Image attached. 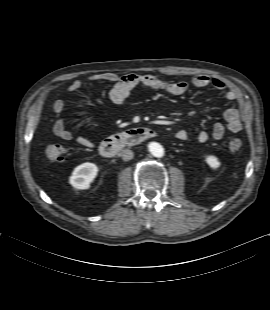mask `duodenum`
Listing matches in <instances>:
<instances>
[{
  "label": "duodenum",
  "instance_id": "duodenum-1",
  "mask_svg": "<svg viewBox=\"0 0 270 310\" xmlns=\"http://www.w3.org/2000/svg\"><path fill=\"white\" fill-rule=\"evenodd\" d=\"M155 135L156 132L150 128H133L104 139L100 143L99 151L103 157H113L124 148L139 145Z\"/></svg>",
  "mask_w": 270,
  "mask_h": 310
}]
</instances>
